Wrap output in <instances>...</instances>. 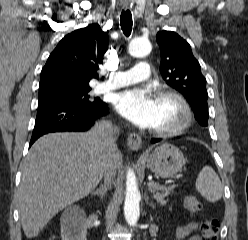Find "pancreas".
<instances>
[{"label":"pancreas","instance_id":"obj_1","mask_svg":"<svg viewBox=\"0 0 248 240\" xmlns=\"http://www.w3.org/2000/svg\"><path fill=\"white\" fill-rule=\"evenodd\" d=\"M172 189L173 187H163L158 185L157 187H150V192L152 193L153 197L157 200L158 203H160L161 205H165L167 203L165 197L170 194Z\"/></svg>","mask_w":248,"mask_h":240}]
</instances>
